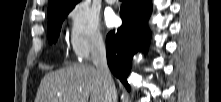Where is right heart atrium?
I'll return each instance as SVG.
<instances>
[{
	"instance_id": "obj_1",
	"label": "right heart atrium",
	"mask_w": 221,
	"mask_h": 102,
	"mask_svg": "<svg viewBox=\"0 0 221 102\" xmlns=\"http://www.w3.org/2000/svg\"><path fill=\"white\" fill-rule=\"evenodd\" d=\"M69 43L78 59H86L104 45L99 19L84 5H76L69 13Z\"/></svg>"
}]
</instances>
